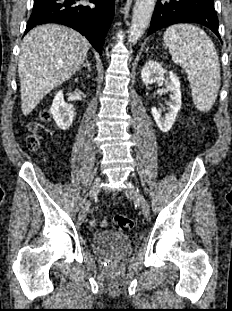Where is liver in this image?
Returning <instances> with one entry per match:
<instances>
[{"mask_svg": "<svg viewBox=\"0 0 232 311\" xmlns=\"http://www.w3.org/2000/svg\"><path fill=\"white\" fill-rule=\"evenodd\" d=\"M89 42L68 27L47 24L23 39L18 63L21 110L30 114L55 87L68 80L83 63Z\"/></svg>", "mask_w": 232, "mask_h": 311, "instance_id": "6515ba94", "label": "liver"}]
</instances>
